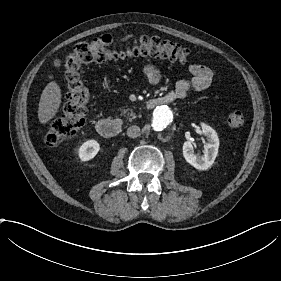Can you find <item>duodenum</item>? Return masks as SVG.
I'll return each mask as SVG.
<instances>
[{"mask_svg":"<svg viewBox=\"0 0 281 281\" xmlns=\"http://www.w3.org/2000/svg\"><path fill=\"white\" fill-rule=\"evenodd\" d=\"M170 103L166 96L153 97L146 102L147 108H154L156 106ZM97 131L104 137H114L121 132V123L117 120L105 118L101 119L96 124Z\"/></svg>","mask_w":281,"mask_h":281,"instance_id":"duodenum-1","label":"duodenum"}]
</instances>
